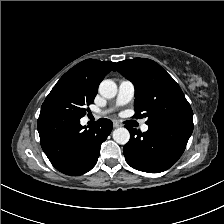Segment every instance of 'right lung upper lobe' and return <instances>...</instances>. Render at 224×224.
I'll use <instances>...</instances> for the list:
<instances>
[{
	"instance_id": "1",
	"label": "right lung upper lobe",
	"mask_w": 224,
	"mask_h": 224,
	"mask_svg": "<svg viewBox=\"0 0 224 224\" xmlns=\"http://www.w3.org/2000/svg\"><path fill=\"white\" fill-rule=\"evenodd\" d=\"M114 65L115 63L110 61L87 59L75 65L63 77L77 82L97 94L100 82L113 69Z\"/></svg>"
}]
</instances>
